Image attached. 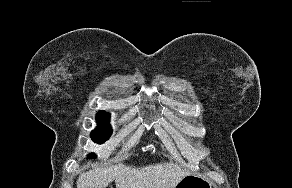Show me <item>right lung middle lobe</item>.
Segmentation results:
<instances>
[{
  "instance_id": "obj_1",
  "label": "right lung middle lobe",
  "mask_w": 292,
  "mask_h": 188,
  "mask_svg": "<svg viewBox=\"0 0 292 188\" xmlns=\"http://www.w3.org/2000/svg\"><path fill=\"white\" fill-rule=\"evenodd\" d=\"M97 128L92 132L91 138L95 143L101 144L108 140L112 134V130L108 126L109 113L99 112L96 116ZM88 158H95V154L91 153Z\"/></svg>"
}]
</instances>
